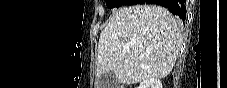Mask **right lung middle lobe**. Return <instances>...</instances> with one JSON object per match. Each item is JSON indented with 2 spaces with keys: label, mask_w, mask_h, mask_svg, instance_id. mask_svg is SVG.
Listing matches in <instances>:
<instances>
[{
  "label": "right lung middle lobe",
  "mask_w": 227,
  "mask_h": 88,
  "mask_svg": "<svg viewBox=\"0 0 227 88\" xmlns=\"http://www.w3.org/2000/svg\"><path fill=\"white\" fill-rule=\"evenodd\" d=\"M136 0H106L108 8H119L122 5L134 4Z\"/></svg>",
  "instance_id": "dd1d6c3e"
}]
</instances>
